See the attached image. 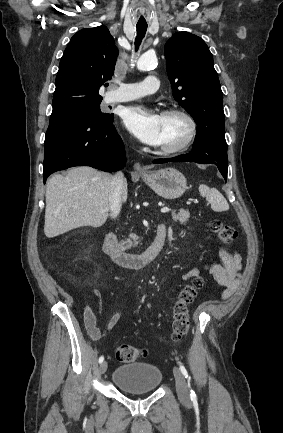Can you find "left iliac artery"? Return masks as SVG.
<instances>
[{"label": "left iliac artery", "instance_id": "left-iliac-artery-1", "mask_svg": "<svg viewBox=\"0 0 283 433\" xmlns=\"http://www.w3.org/2000/svg\"><path fill=\"white\" fill-rule=\"evenodd\" d=\"M179 366H180V370H181L182 374L185 376V378H187L189 380L190 377L188 375L186 368L183 366V364L181 362H179ZM190 397H191V400H194L197 398L195 392L192 389L190 390Z\"/></svg>", "mask_w": 283, "mask_h": 433}]
</instances>
